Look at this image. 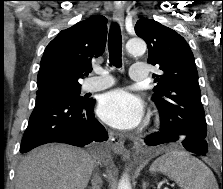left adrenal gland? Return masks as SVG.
I'll return each instance as SVG.
<instances>
[{"label": "left adrenal gland", "mask_w": 223, "mask_h": 189, "mask_svg": "<svg viewBox=\"0 0 223 189\" xmlns=\"http://www.w3.org/2000/svg\"><path fill=\"white\" fill-rule=\"evenodd\" d=\"M148 183L147 182H143V189H146L148 187Z\"/></svg>", "instance_id": "obj_1"}]
</instances>
